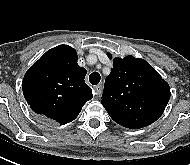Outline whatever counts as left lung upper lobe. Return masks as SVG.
Here are the masks:
<instances>
[{
    "label": "left lung upper lobe",
    "mask_w": 190,
    "mask_h": 165,
    "mask_svg": "<svg viewBox=\"0 0 190 165\" xmlns=\"http://www.w3.org/2000/svg\"><path fill=\"white\" fill-rule=\"evenodd\" d=\"M169 99L168 83L148 62L114 58L101 102L116 123L129 129L146 127L162 115Z\"/></svg>",
    "instance_id": "5c2ea615"
}]
</instances>
